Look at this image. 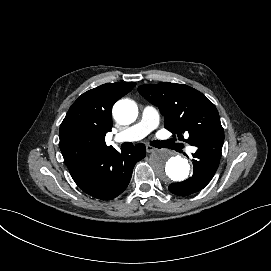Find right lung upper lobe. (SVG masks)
<instances>
[{
    "instance_id": "1",
    "label": "right lung upper lobe",
    "mask_w": 271,
    "mask_h": 271,
    "mask_svg": "<svg viewBox=\"0 0 271 271\" xmlns=\"http://www.w3.org/2000/svg\"><path fill=\"white\" fill-rule=\"evenodd\" d=\"M135 82L106 83L82 94L70 107L59 130V146L70 173L107 148L113 104L130 92Z\"/></svg>"
}]
</instances>
